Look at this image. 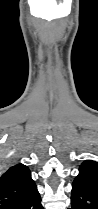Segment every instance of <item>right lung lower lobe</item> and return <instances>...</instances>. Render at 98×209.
<instances>
[{"instance_id":"obj_1","label":"right lung lower lobe","mask_w":98,"mask_h":209,"mask_svg":"<svg viewBox=\"0 0 98 209\" xmlns=\"http://www.w3.org/2000/svg\"><path fill=\"white\" fill-rule=\"evenodd\" d=\"M8 209H44L37 187Z\"/></svg>"}]
</instances>
